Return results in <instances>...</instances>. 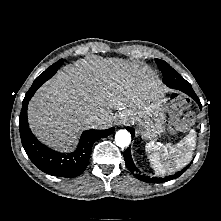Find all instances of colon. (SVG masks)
Returning <instances> with one entry per match:
<instances>
[{
  "label": "colon",
  "mask_w": 221,
  "mask_h": 221,
  "mask_svg": "<svg viewBox=\"0 0 221 221\" xmlns=\"http://www.w3.org/2000/svg\"><path fill=\"white\" fill-rule=\"evenodd\" d=\"M188 107V102L183 97H175L171 104V119L169 130L171 132L181 131L189 123V119L184 116V111Z\"/></svg>",
  "instance_id": "colon-1"
}]
</instances>
